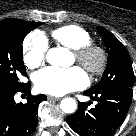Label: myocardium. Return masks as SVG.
<instances>
[{
    "mask_svg": "<svg viewBox=\"0 0 136 136\" xmlns=\"http://www.w3.org/2000/svg\"><path fill=\"white\" fill-rule=\"evenodd\" d=\"M74 55L78 63L92 78L104 71L108 61L106 50L93 43L75 49Z\"/></svg>",
    "mask_w": 136,
    "mask_h": 136,
    "instance_id": "myocardium-1",
    "label": "myocardium"
}]
</instances>
